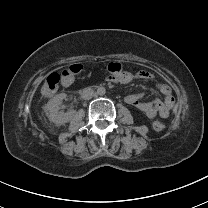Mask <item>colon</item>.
<instances>
[{
    "instance_id": "5ec220e1",
    "label": "colon",
    "mask_w": 208,
    "mask_h": 208,
    "mask_svg": "<svg viewBox=\"0 0 208 208\" xmlns=\"http://www.w3.org/2000/svg\"><path fill=\"white\" fill-rule=\"evenodd\" d=\"M104 72L110 77L123 78L125 76V64L122 61H112L103 65ZM84 72V67L80 63L64 68L61 72L53 73L45 81L43 90L46 92L55 91L59 84L71 82L75 76H80ZM153 129L157 133L165 131V124L157 119L153 122Z\"/></svg>"
}]
</instances>
